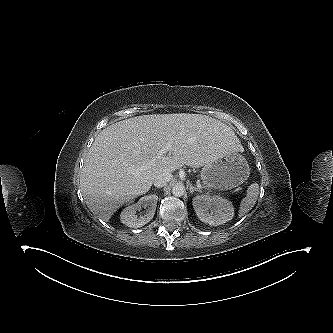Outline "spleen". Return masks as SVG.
Returning <instances> with one entry per match:
<instances>
[{"label":"spleen","instance_id":"obj_1","mask_svg":"<svg viewBox=\"0 0 333 333\" xmlns=\"http://www.w3.org/2000/svg\"><path fill=\"white\" fill-rule=\"evenodd\" d=\"M259 195V185L257 183L251 184L247 189L245 198L242 199L239 208V217L247 214L256 204Z\"/></svg>","mask_w":333,"mask_h":333}]
</instances>
